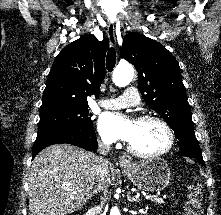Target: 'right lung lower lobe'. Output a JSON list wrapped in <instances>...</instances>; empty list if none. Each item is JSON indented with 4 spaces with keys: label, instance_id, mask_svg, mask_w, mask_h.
<instances>
[{
    "label": "right lung lower lobe",
    "instance_id": "98d812e1",
    "mask_svg": "<svg viewBox=\"0 0 221 215\" xmlns=\"http://www.w3.org/2000/svg\"><path fill=\"white\" fill-rule=\"evenodd\" d=\"M58 143L72 144L89 151H95L98 147L93 126L86 128H63L38 133L32 151V159L45 147Z\"/></svg>",
    "mask_w": 221,
    "mask_h": 215
}]
</instances>
